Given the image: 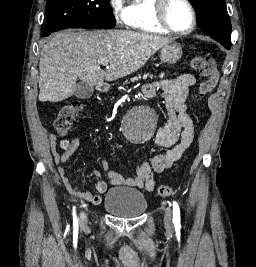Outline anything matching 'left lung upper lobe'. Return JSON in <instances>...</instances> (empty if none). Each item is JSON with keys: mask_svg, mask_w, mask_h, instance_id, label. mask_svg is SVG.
Masks as SVG:
<instances>
[{"mask_svg": "<svg viewBox=\"0 0 256 267\" xmlns=\"http://www.w3.org/2000/svg\"><path fill=\"white\" fill-rule=\"evenodd\" d=\"M197 13L198 25L210 37L231 47V23L224 0H189Z\"/></svg>", "mask_w": 256, "mask_h": 267, "instance_id": "5c2ea615", "label": "left lung upper lobe"}]
</instances>
